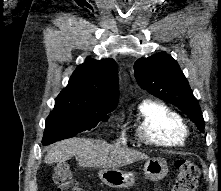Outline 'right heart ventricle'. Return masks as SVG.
<instances>
[{
  "label": "right heart ventricle",
  "mask_w": 221,
  "mask_h": 191,
  "mask_svg": "<svg viewBox=\"0 0 221 191\" xmlns=\"http://www.w3.org/2000/svg\"><path fill=\"white\" fill-rule=\"evenodd\" d=\"M136 136L156 146H180L188 138L183 117L164 102L145 100L137 109Z\"/></svg>",
  "instance_id": "1"
}]
</instances>
